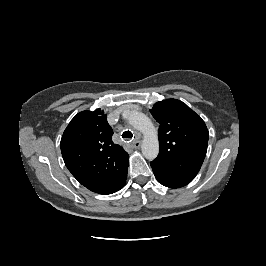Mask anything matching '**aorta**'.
Returning <instances> with one entry per match:
<instances>
[{"label": "aorta", "instance_id": "aorta-1", "mask_svg": "<svg viewBox=\"0 0 266 266\" xmlns=\"http://www.w3.org/2000/svg\"><path fill=\"white\" fill-rule=\"evenodd\" d=\"M129 123L143 134L142 154L148 160H153L159 153V141L155 127L149 117L138 111H131Z\"/></svg>", "mask_w": 266, "mask_h": 266}]
</instances>
